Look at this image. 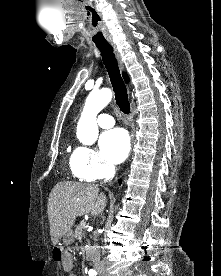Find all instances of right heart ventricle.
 Instances as JSON below:
<instances>
[{
	"instance_id": "obj_1",
	"label": "right heart ventricle",
	"mask_w": 221,
	"mask_h": 276,
	"mask_svg": "<svg viewBox=\"0 0 221 276\" xmlns=\"http://www.w3.org/2000/svg\"><path fill=\"white\" fill-rule=\"evenodd\" d=\"M73 154H74V153H73ZM73 154H72V156H71V158H70V168H71L72 173H73L76 177L80 178L79 175L77 174L76 169H75L74 164H73Z\"/></svg>"
}]
</instances>
